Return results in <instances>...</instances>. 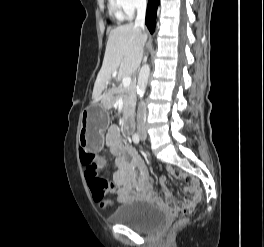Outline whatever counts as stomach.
<instances>
[{"label":"stomach","instance_id":"0dacf381","mask_svg":"<svg viewBox=\"0 0 264 247\" xmlns=\"http://www.w3.org/2000/svg\"><path fill=\"white\" fill-rule=\"evenodd\" d=\"M108 123L106 105L88 110L81 121L78 133L79 144L92 151H98L103 144V130Z\"/></svg>","mask_w":264,"mask_h":247}]
</instances>
